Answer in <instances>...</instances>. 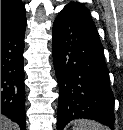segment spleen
I'll return each mask as SVG.
<instances>
[{
    "mask_svg": "<svg viewBox=\"0 0 123 130\" xmlns=\"http://www.w3.org/2000/svg\"><path fill=\"white\" fill-rule=\"evenodd\" d=\"M73 130H105V126L92 120L79 119L74 121Z\"/></svg>",
    "mask_w": 123,
    "mask_h": 130,
    "instance_id": "3e777b00",
    "label": "spleen"
}]
</instances>
